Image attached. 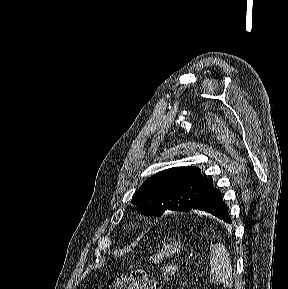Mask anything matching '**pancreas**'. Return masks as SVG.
<instances>
[{
	"label": "pancreas",
	"mask_w": 288,
	"mask_h": 289,
	"mask_svg": "<svg viewBox=\"0 0 288 289\" xmlns=\"http://www.w3.org/2000/svg\"><path fill=\"white\" fill-rule=\"evenodd\" d=\"M170 273V271L168 270V268L164 269V280H168V274Z\"/></svg>",
	"instance_id": "1"
}]
</instances>
